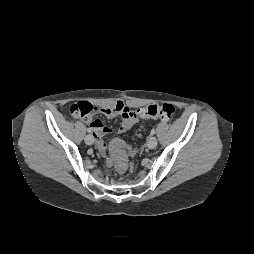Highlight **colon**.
Returning a JSON list of instances; mask_svg holds the SVG:
<instances>
[{
    "instance_id": "1",
    "label": "colon",
    "mask_w": 254,
    "mask_h": 254,
    "mask_svg": "<svg viewBox=\"0 0 254 254\" xmlns=\"http://www.w3.org/2000/svg\"><path fill=\"white\" fill-rule=\"evenodd\" d=\"M69 112L78 118L90 119L96 112V108L87 102L74 103L69 107ZM175 112L173 105L168 103L151 104L134 110L136 116L145 119H160L169 121ZM117 152H120L121 143L119 141L114 144ZM117 167L123 171L126 168V162L122 157L117 159Z\"/></svg>"
}]
</instances>
